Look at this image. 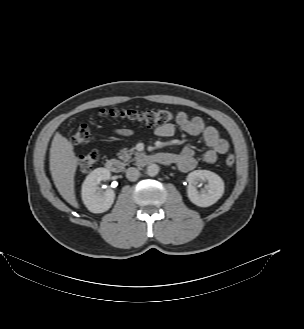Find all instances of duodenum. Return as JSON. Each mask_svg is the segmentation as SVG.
Returning <instances> with one entry per match:
<instances>
[{"instance_id":"obj_1","label":"duodenum","mask_w":304,"mask_h":329,"mask_svg":"<svg viewBox=\"0 0 304 329\" xmlns=\"http://www.w3.org/2000/svg\"><path fill=\"white\" fill-rule=\"evenodd\" d=\"M136 162L139 165H145L150 163L170 165L173 163V157L172 155L167 153L155 152L138 156L136 158ZM106 168L112 173H121L124 169V164L119 159L111 158L106 161Z\"/></svg>"}]
</instances>
